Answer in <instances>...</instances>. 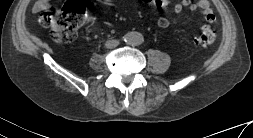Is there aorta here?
Masks as SVG:
<instances>
[{"label":"aorta","mask_w":253,"mask_h":138,"mask_svg":"<svg viewBox=\"0 0 253 138\" xmlns=\"http://www.w3.org/2000/svg\"><path fill=\"white\" fill-rule=\"evenodd\" d=\"M124 41L130 45H140L144 41V37L139 32H129L125 35Z\"/></svg>","instance_id":"obj_1"}]
</instances>
